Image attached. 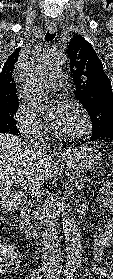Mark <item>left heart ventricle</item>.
Returning a JSON list of instances; mask_svg holds the SVG:
<instances>
[{
	"label": "left heart ventricle",
	"instance_id": "left-heart-ventricle-1",
	"mask_svg": "<svg viewBox=\"0 0 113 279\" xmlns=\"http://www.w3.org/2000/svg\"><path fill=\"white\" fill-rule=\"evenodd\" d=\"M78 127V115L75 110L69 106L67 117L58 130L60 134H69L76 131Z\"/></svg>",
	"mask_w": 113,
	"mask_h": 279
}]
</instances>
